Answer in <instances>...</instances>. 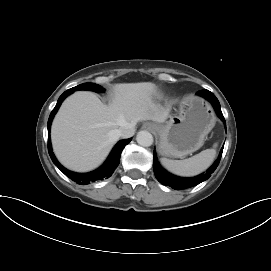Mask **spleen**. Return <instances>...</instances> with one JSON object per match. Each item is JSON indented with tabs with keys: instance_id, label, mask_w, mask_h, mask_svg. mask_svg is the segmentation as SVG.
<instances>
[{
	"instance_id": "3e777b00",
	"label": "spleen",
	"mask_w": 271,
	"mask_h": 271,
	"mask_svg": "<svg viewBox=\"0 0 271 271\" xmlns=\"http://www.w3.org/2000/svg\"><path fill=\"white\" fill-rule=\"evenodd\" d=\"M215 155L216 150L211 148L184 160L161 158V164L175 175L191 177L205 171L212 164Z\"/></svg>"
}]
</instances>
